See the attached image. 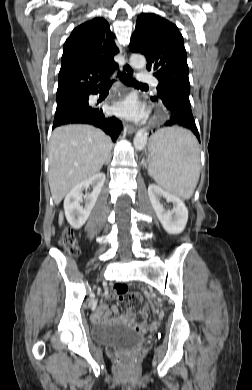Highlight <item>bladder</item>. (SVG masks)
I'll return each instance as SVG.
<instances>
[{"mask_svg":"<svg viewBox=\"0 0 252 390\" xmlns=\"http://www.w3.org/2000/svg\"><path fill=\"white\" fill-rule=\"evenodd\" d=\"M92 337L94 342L99 344L125 347H131L143 341L141 336L118 324H95Z\"/></svg>","mask_w":252,"mask_h":390,"instance_id":"31cf9c89","label":"bladder"}]
</instances>
